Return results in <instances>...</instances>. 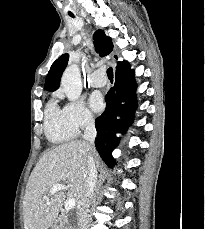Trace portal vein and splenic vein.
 <instances>
[{"label": "portal vein and splenic vein", "instance_id": "1", "mask_svg": "<svg viewBox=\"0 0 205 229\" xmlns=\"http://www.w3.org/2000/svg\"><path fill=\"white\" fill-rule=\"evenodd\" d=\"M60 190H68V186H65L63 184H55L52 186V188L50 189V194H54ZM76 204V200L75 198H68L65 202V209L66 211H69L71 209L74 208Z\"/></svg>", "mask_w": 205, "mask_h": 229}]
</instances>
